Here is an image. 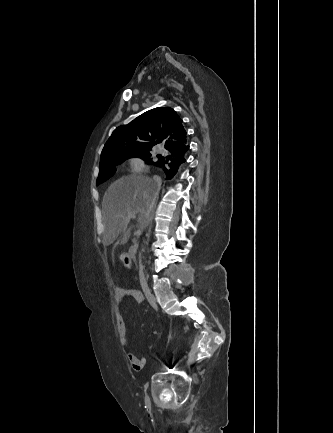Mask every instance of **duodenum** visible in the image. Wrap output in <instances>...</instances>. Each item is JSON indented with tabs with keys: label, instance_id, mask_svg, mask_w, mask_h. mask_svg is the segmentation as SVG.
<instances>
[{
	"label": "duodenum",
	"instance_id": "duodenum-1",
	"mask_svg": "<svg viewBox=\"0 0 333 433\" xmlns=\"http://www.w3.org/2000/svg\"><path fill=\"white\" fill-rule=\"evenodd\" d=\"M136 248V245L135 244H132L131 246H130V251H129V258H134V252H135V249ZM134 263H137L138 262V259L137 258H134L133 260H132Z\"/></svg>",
	"mask_w": 333,
	"mask_h": 433
}]
</instances>
